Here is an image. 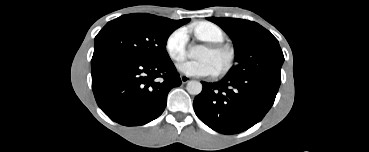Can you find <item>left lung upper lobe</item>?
<instances>
[{
	"mask_svg": "<svg viewBox=\"0 0 369 152\" xmlns=\"http://www.w3.org/2000/svg\"><path fill=\"white\" fill-rule=\"evenodd\" d=\"M219 25L233 40L237 64L229 75H268L280 78L284 61L278 40L256 22L208 17Z\"/></svg>",
	"mask_w": 369,
	"mask_h": 152,
	"instance_id": "1",
	"label": "left lung upper lobe"
}]
</instances>
